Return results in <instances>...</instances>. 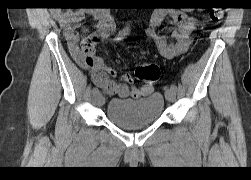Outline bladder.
<instances>
[{
    "instance_id": "31cf9c89",
    "label": "bladder",
    "mask_w": 251,
    "mask_h": 180,
    "mask_svg": "<svg viewBox=\"0 0 251 180\" xmlns=\"http://www.w3.org/2000/svg\"><path fill=\"white\" fill-rule=\"evenodd\" d=\"M165 100L154 92L140 99H111L106 108L107 118L125 129H136L155 123L162 115Z\"/></svg>"
}]
</instances>
